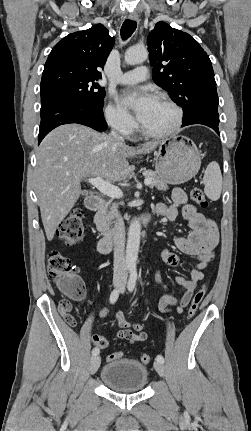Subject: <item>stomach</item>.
<instances>
[{
  "mask_svg": "<svg viewBox=\"0 0 251 431\" xmlns=\"http://www.w3.org/2000/svg\"><path fill=\"white\" fill-rule=\"evenodd\" d=\"M200 166V153L185 136L163 140L156 152V173L168 184L179 185L189 181L198 173Z\"/></svg>",
  "mask_w": 251,
  "mask_h": 431,
  "instance_id": "1",
  "label": "stomach"
}]
</instances>
